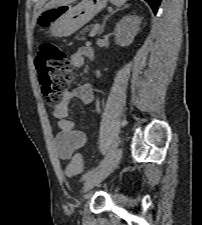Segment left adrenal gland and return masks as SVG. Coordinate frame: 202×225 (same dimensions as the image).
Wrapping results in <instances>:
<instances>
[{
	"label": "left adrenal gland",
	"mask_w": 202,
	"mask_h": 225,
	"mask_svg": "<svg viewBox=\"0 0 202 225\" xmlns=\"http://www.w3.org/2000/svg\"><path fill=\"white\" fill-rule=\"evenodd\" d=\"M117 11H119V9H116L115 11H112L109 15H107V16L104 18V21H103L102 26H101V28H100V31H99V33H98L99 35H101V34L103 33L107 19H108L111 15H113L114 13H116Z\"/></svg>",
	"instance_id": "1"
}]
</instances>
